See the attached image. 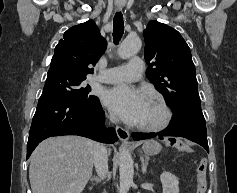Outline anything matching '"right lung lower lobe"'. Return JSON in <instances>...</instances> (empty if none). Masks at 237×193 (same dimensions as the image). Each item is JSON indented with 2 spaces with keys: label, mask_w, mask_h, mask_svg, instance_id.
<instances>
[{
  "label": "right lung lower lobe",
  "mask_w": 237,
  "mask_h": 193,
  "mask_svg": "<svg viewBox=\"0 0 237 193\" xmlns=\"http://www.w3.org/2000/svg\"><path fill=\"white\" fill-rule=\"evenodd\" d=\"M104 121L99 99L77 104L61 96L42 95L29 132L27 159L42 140L51 136L79 135L103 143L116 142L115 130L105 128Z\"/></svg>",
  "instance_id": "1"
}]
</instances>
